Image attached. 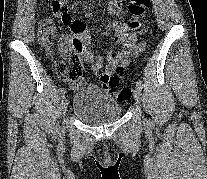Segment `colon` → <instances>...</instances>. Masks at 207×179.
Here are the masks:
<instances>
[{
	"mask_svg": "<svg viewBox=\"0 0 207 179\" xmlns=\"http://www.w3.org/2000/svg\"><path fill=\"white\" fill-rule=\"evenodd\" d=\"M49 1L54 14L60 13L65 19L71 21L69 11L72 7L69 5V0ZM150 3L151 0H130L128 10L133 17L130 21V27L133 30L139 31L144 27L142 17L145 15ZM56 31V25L51 18H44L40 21L38 38L42 47L50 52L56 37ZM131 40L139 47H142L147 42V36L145 33H140L133 36ZM68 46L70 49L65 50L62 55L55 58L56 73L62 81L79 84L85 77V68L75 51V44L71 43ZM122 72V68H117V74L115 75L103 73L101 75V83L118 101L126 102L131 98L132 90L129 87L119 86V76Z\"/></svg>",
	"mask_w": 207,
	"mask_h": 179,
	"instance_id": "5ec220e1",
	"label": "colon"
}]
</instances>
